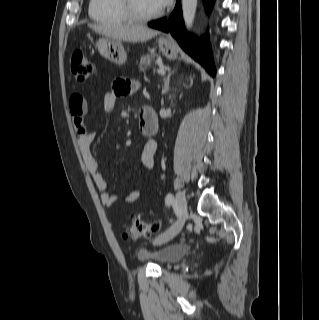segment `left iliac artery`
Returning <instances> with one entry per match:
<instances>
[{
  "instance_id": "1",
  "label": "left iliac artery",
  "mask_w": 319,
  "mask_h": 320,
  "mask_svg": "<svg viewBox=\"0 0 319 320\" xmlns=\"http://www.w3.org/2000/svg\"><path fill=\"white\" fill-rule=\"evenodd\" d=\"M173 202H174V196H173L171 193L167 194V196H166V198H165V203H166V205L169 206V205L172 204ZM167 231H168V230H167ZM167 231L164 232L163 234H161L160 236L166 234ZM160 236H159V237H160Z\"/></svg>"
}]
</instances>
